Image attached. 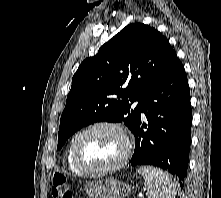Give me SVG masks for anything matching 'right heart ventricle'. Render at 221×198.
I'll return each instance as SVG.
<instances>
[{
    "label": "right heart ventricle",
    "mask_w": 221,
    "mask_h": 198,
    "mask_svg": "<svg viewBox=\"0 0 221 198\" xmlns=\"http://www.w3.org/2000/svg\"><path fill=\"white\" fill-rule=\"evenodd\" d=\"M72 143H73V140L70 142V144L67 148V151H66V162H67L68 168L72 172L80 174L83 172L75 165L73 158H72Z\"/></svg>",
    "instance_id": "e07e8e85"
}]
</instances>
